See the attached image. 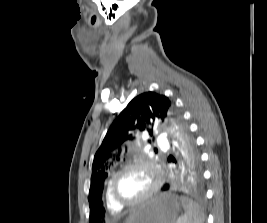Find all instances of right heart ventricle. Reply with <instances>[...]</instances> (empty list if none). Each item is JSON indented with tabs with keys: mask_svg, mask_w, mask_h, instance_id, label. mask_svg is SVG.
Here are the masks:
<instances>
[{
	"mask_svg": "<svg viewBox=\"0 0 267 223\" xmlns=\"http://www.w3.org/2000/svg\"><path fill=\"white\" fill-rule=\"evenodd\" d=\"M105 202L110 212L117 214L122 211V207L118 206L111 198L110 191H109V183L105 190Z\"/></svg>",
	"mask_w": 267,
	"mask_h": 223,
	"instance_id": "right-heart-ventricle-1",
	"label": "right heart ventricle"
}]
</instances>
